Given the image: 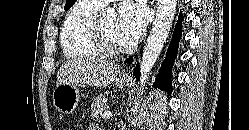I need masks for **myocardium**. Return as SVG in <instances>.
<instances>
[{"label":"myocardium","mask_w":249,"mask_h":130,"mask_svg":"<svg viewBox=\"0 0 249 130\" xmlns=\"http://www.w3.org/2000/svg\"><path fill=\"white\" fill-rule=\"evenodd\" d=\"M91 37L95 47L105 56H117L124 52L121 45L113 43L105 34L101 25V18L96 16L91 27Z\"/></svg>","instance_id":"obj_1"}]
</instances>
